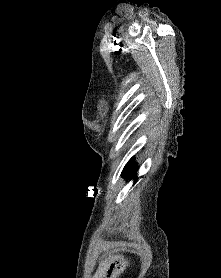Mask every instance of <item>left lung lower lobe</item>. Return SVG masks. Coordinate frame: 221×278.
Segmentation results:
<instances>
[{
  "mask_svg": "<svg viewBox=\"0 0 221 278\" xmlns=\"http://www.w3.org/2000/svg\"><path fill=\"white\" fill-rule=\"evenodd\" d=\"M136 171L137 170L134 166V157H132L124 167L122 171V176L126 177L127 179H136Z\"/></svg>",
  "mask_w": 221,
  "mask_h": 278,
  "instance_id": "1",
  "label": "left lung lower lobe"
}]
</instances>
